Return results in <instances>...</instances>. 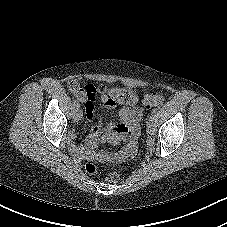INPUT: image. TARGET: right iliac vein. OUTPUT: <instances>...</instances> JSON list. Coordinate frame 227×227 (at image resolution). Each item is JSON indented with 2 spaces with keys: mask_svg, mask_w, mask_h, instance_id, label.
Segmentation results:
<instances>
[{
  "mask_svg": "<svg viewBox=\"0 0 227 227\" xmlns=\"http://www.w3.org/2000/svg\"><path fill=\"white\" fill-rule=\"evenodd\" d=\"M82 116V112L79 108H76L73 115V121L78 122Z\"/></svg>",
  "mask_w": 227,
  "mask_h": 227,
  "instance_id": "obj_1",
  "label": "right iliac vein"
}]
</instances>
